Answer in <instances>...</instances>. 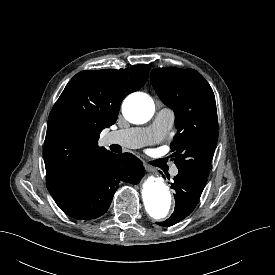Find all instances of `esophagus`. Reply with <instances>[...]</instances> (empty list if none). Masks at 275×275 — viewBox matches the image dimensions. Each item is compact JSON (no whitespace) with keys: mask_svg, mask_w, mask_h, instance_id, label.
<instances>
[{"mask_svg":"<svg viewBox=\"0 0 275 275\" xmlns=\"http://www.w3.org/2000/svg\"><path fill=\"white\" fill-rule=\"evenodd\" d=\"M145 169H146L148 172H154V171H155V168H153L152 166L147 165V164H145Z\"/></svg>","mask_w":275,"mask_h":275,"instance_id":"34e87169","label":"esophagus"}]
</instances>
